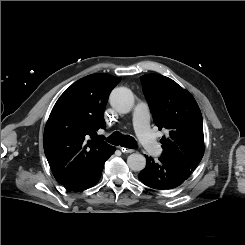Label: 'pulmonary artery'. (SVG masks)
Segmentation results:
<instances>
[{
    "mask_svg": "<svg viewBox=\"0 0 245 245\" xmlns=\"http://www.w3.org/2000/svg\"><path fill=\"white\" fill-rule=\"evenodd\" d=\"M133 127L144 149L153 156L162 152L159 142L156 140L150 128L149 110L146 104H137L133 110Z\"/></svg>",
    "mask_w": 245,
    "mask_h": 245,
    "instance_id": "1",
    "label": "pulmonary artery"
}]
</instances>
